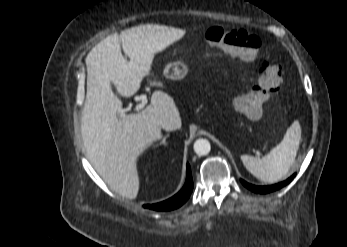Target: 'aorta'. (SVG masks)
<instances>
[{
  "label": "aorta",
  "instance_id": "obj_1",
  "mask_svg": "<svg viewBox=\"0 0 347 247\" xmlns=\"http://www.w3.org/2000/svg\"><path fill=\"white\" fill-rule=\"evenodd\" d=\"M193 149L198 156H205L211 150L210 142L207 139H198L193 145Z\"/></svg>",
  "mask_w": 347,
  "mask_h": 247
}]
</instances>
